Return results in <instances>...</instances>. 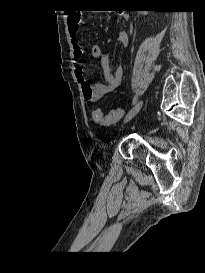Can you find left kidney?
I'll return each instance as SVG.
<instances>
[{
	"label": "left kidney",
	"instance_id": "obj_1",
	"mask_svg": "<svg viewBox=\"0 0 205 273\" xmlns=\"http://www.w3.org/2000/svg\"><path fill=\"white\" fill-rule=\"evenodd\" d=\"M143 15H147L148 11H142L141 12Z\"/></svg>",
	"mask_w": 205,
	"mask_h": 273
}]
</instances>
